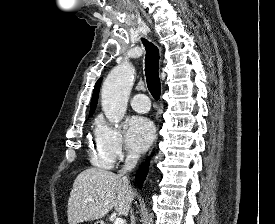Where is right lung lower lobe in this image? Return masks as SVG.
<instances>
[{
	"instance_id": "right-lung-lower-lobe-1",
	"label": "right lung lower lobe",
	"mask_w": 275,
	"mask_h": 224,
	"mask_svg": "<svg viewBox=\"0 0 275 224\" xmlns=\"http://www.w3.org/2000/svg\"><path fill=\"white\" fill-rule=\"evenodd\" d=\"M148 172V164L144 163L140 169L138 170L137 174H136V183L138 185L139 188L142 187V183L145 180V177L147 175Z\"/></svg>"
}]
</instances>
